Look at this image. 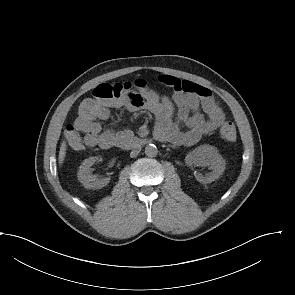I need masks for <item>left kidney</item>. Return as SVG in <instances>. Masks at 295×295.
<instances>
[{"label":"left kidney","mask_w":295,"mask_h":295,"mask_svg":"<svg viewBox=\"0 0 295 295\" xmlns=\"http://www.w3.org/2000/svg\"><path fill=\"white\" fill-rule=\"evenodd\" d=\"M185 162L189 166H210L212 172L208 175H196L197 180L203 184L215 181L225 170V161L217 148L208 144L195 148L185 157Z\"/></svg>","instance_id":"1"}]
</instances>
